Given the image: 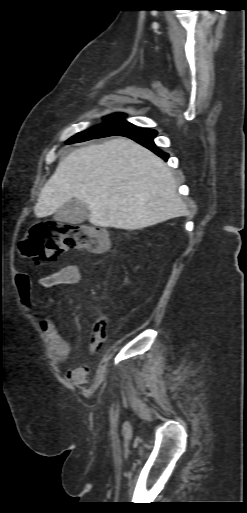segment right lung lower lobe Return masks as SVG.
I'll list each match as a JSON object with an SVG mask.
<instances>
[{
    "label": "right lung lower lobe",
    "mask_w": 247,
    "mask_h": 513,
    "mask_svg": "<svg viewBox=\"0 0 247 513\" xmlns=\"http://www.w3.org/2000/svg\"><path fill=\"white\" fill-rule=\"evenodd\" d=\"M156 134H157V132L155 130L145 129V128H136L133 126V127H130L116 135L129 137V138L135 140L136 142L140 143L141 145L145 146L146 148L150 149L151 151H153L155 154H157L164 160H167L168 154H166V153L162 152L160 149H158L153 141Z\"/></svg>",
    "instance_id": "obj_1"
}]
</instances>
